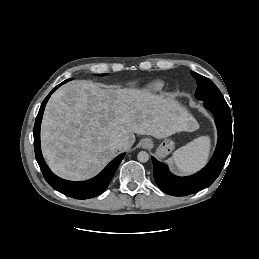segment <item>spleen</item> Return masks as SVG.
<instances>
[{
    "label": "spleen",
    "mask_w": 259,
    "mask_h": 259,
    "mask_svg": "<svg viewBox=\"0 0 259 259\" xmlns=\"http://www.w3.org/2000/svg\"><path fill=\"white\" fill-rule=\"evenodd\" d=\"M210 145V138L208 136H201L176 150L170 161L181 172L192 173L207 162Z\"/></svg>",
    "instance_id": "1"
}]
</instances>
